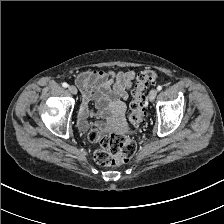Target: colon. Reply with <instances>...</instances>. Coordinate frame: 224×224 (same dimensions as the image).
Here are the masks:
<instances>
[{"mask_svg":"<svg viewBox=\"0 0 224 224\" xmlns=\"http://www.w3.org/2000/svg\"><path fill=\"white\" fill-rule=\"evenodd\" d=\"M158 75L155 71L147 69L137 74L135 87L132 91L129 121L138 125L144 115L145 92L150 84L157 82ZM88 139L98 147L94 151V160L102 166H120L127 163L134 155L136 143L130 137L112 133L103 136L98 129H92Z\"/></svg>","mask_w":224,"mask_h":224,"instance_id":"1","label":"colon"}]
</instances>
